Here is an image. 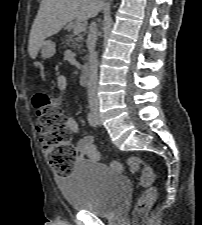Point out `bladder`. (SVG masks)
Segmentation results:
<instances>
[{"label": "bladder", "instance_id": "31cf9c89", "mask_svg": "<svg viewBox=\"0 0 202 225\" xmlns=\"http://www.w3.org/2000/svg\"><path fill=\"white\" fill-rule=\"evenodd\" d=\"M131 189L125 174L89 159L75 162L73 171L64 177L60 188L70 209L98 217L115 215Z\"/></svg>", "mask_w": 202, "mask_h": 225}]
</instances>
